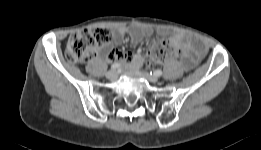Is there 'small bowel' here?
<instances>
[{
  "label": "small bowel",
  "instance_id": "1",
  "mask_svg": "<svg viewBox=\"0 0 261 150\" xmlns=\"http://www.w3.org/2000/svg\"><path fill=\"white\" fill-rule=\"evenodd\" d=\"M129 33L130 41L133 44H138L146 38L152 35V29L149 27L133 26L130 29L125 27H118L113 31L112 44L119 45L126 33ZM170 43L177 49L182 50L185 53L184 66L190 69L205 53V47L203 43L198 40L187 38L184 35L177 34L169 39ZM103 52L111 60H120L122 62L130 63L135 67H139L143 64L144 58L140 53H129L121 51L117 48H104Z\"/></svg>",
  "mask_w": 261,
  "mask_h": 150
}]
</instances>
